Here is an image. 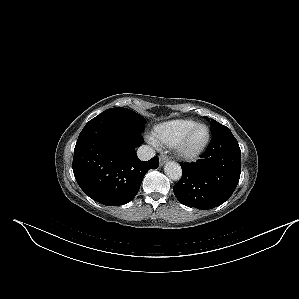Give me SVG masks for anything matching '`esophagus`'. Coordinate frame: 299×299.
<instances>
[{"instance_id":"34e87169","label":"esophagus","mask_w":299,"mask_h":299,"mask_svg":"<svg viewBox=\"0 0 299 299\" xmlns=\"http://www.w3.org/2000/svg\"><path fill=\"white\" fill-rule=\"evenodd\" d=\"M167 161H168V157H166L164 155L160 156V159H159L160 166L164 165Z\"/></svg>"}]
</instances>
